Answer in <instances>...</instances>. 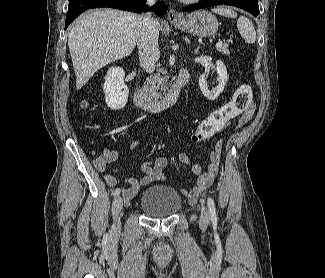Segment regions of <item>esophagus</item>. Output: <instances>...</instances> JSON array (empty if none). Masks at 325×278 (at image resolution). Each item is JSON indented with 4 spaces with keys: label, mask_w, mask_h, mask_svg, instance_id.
<instances>
[{
    "label": "esophagus",
    "mask_w": 325,
    "mask_h": 278,
    "mask_svg": "<svg viewBox=\"0 0 325 278\" xmlns=\"http://www.w3.org/2000/svg\"><path fill=\"white\" fill-rule=\"evenodd\" d=\"M168 19L170 21H178L181 19V15L174 9H170V11L168 13Z\"/></svg>",
    "instance_id": "esophagus-1"
}]
</instances>
